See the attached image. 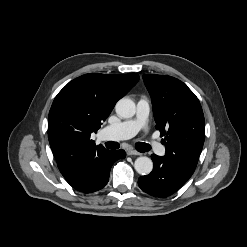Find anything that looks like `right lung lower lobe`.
<instances>
[{
	"mask_svg": "<svg viewBox=\"0 0 247 247\" xmlns=\"http://www.w3.org/2000/svg\"><path fill=\"white\" fill-rule=\"evenodd\" d=\"M125 157L126 153L123 150H108L100 158L86 166L85 170L77 178L68 183L74 189L84 193L100 190L108 183L112 164L116 160Z\"/></svg>",
	"mask_w": 247,
	"mask_h": 247,
	"instance_id": "98d812e1",
	"label": "right lung lower lobe"
}]
</instances>
